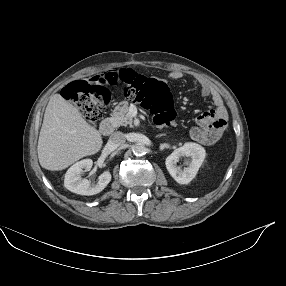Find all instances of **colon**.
I'll use <instances>...</instances> for the list:
<instances>
[{"label": "colon", "mask_w": 286, "mask_h": 286, "mask_svg": "<svg viewBox=\"0 0 286 286\" xmlns=\"http://www.w3.org/2000/svg\"><path fill=\"white\" fill-rule=\"evenodd\" d=\"M118 83L123 84L125 97L140 96L142 104L154 112L156 121L169 123L174 119L173 99L167 85L133 70L107 72L92 80L74 81L64 89V98L76 104L89 122L97 123L111 100L107 86ZM189 131L197 141L216 144L225 138L227 127L218 115L206 111L191 121Z\"/></svg>", "instance_id": "obj_1"}]
</instances>
